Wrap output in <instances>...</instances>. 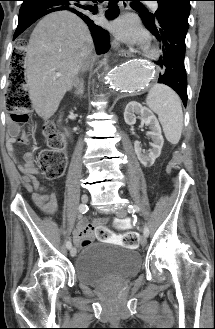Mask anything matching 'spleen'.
<instances>
[{"instance_id":"spleen-1","label":"spleen","mask_w":215,"mask_h":329,"mask_svg":"<svg viewBox=\"0 0 215 329\" xmlns=\"http://www.w3.org/2000/svg\"><path fill=\"white\" fill-rule=\"evenodd\" d=\"M147 106L158 115L166 139L178 144L183 129V112L179 96L168 86L154 85L146 98Z\"/></svg>"}]
</instances>
